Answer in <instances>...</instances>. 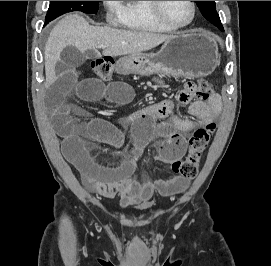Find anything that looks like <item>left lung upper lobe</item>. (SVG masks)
Wrapping results in <instances>:
<instances>
[{
  "instance_id": "left-lung-upper-lobe-1",
  "label": "left lung upper lobe",
  "mask_w": 271,
  "mask_h": 266,
  "mask_svg": "<svg viewBox=\"0 0 271 266\" xmlns=\"http://www.w3.org/2000/svg\"><path fill=\"white\" fill-rule=\"evenodd\" d=\"M202 15L220 30L223 29L219 15L216 11L215 1H195Z\"/></svg>"
}]
</instances>
